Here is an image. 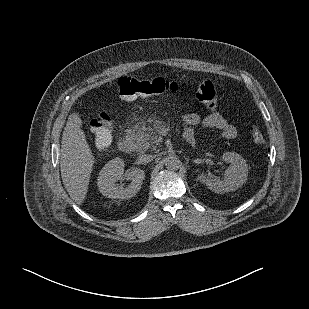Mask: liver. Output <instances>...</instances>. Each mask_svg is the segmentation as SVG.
I'll return each mask as SVG.
<instances>
[{
  "label": "liver",
  "mask_w": 309,
  "mask_h": 309,
  "mask_svg": "<svg viewBox=\"0 0 309 309\" xmlns=\"http://www.w3.org/2000/svg\"><path fill=\"white\" fill-rule=\"evenodd\" d=\"M81 127L79 114H71L62 134L60 156L63 184L77 204L85 200L94 164V157Z\"/></svg>",
  "instance_id": "obj_1"
}]
</instances>
